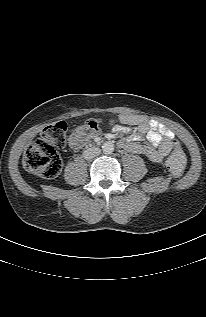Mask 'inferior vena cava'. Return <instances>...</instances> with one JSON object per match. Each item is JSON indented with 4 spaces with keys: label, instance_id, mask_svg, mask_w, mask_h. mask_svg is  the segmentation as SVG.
<instances>
[{
    "label": "inferior vena cava",
    "instance_id": "602c4592",
    "mask_svg": "<svg viewBox=\"0 0 206 317\" xmlns=\"http://www.w3.org/2000/svg\"><path fill=\"white\" fill-rule=\"evenodd\" d=\"M101 150L97 147H90L83 152V157L87 160L93 159L100 155Z\"/></svg>",
    "mask_w": 206,
    "mask_h": 317
}]
</instances>
